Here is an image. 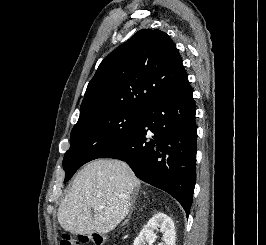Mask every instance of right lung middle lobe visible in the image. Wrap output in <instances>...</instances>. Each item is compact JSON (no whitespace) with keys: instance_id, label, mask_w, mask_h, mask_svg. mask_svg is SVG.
I'll use <instances>...</instances> for the list:
<instances>
[{"instance_id":"dd1d6c3e","label":"right lung middle lobe","mask_w":266,"mask_h":245,"mask_svg":"<svg viewBox=\"0 0 266 245\" xmlns=\"http://www.w3.org/2000/svg\"><path fill=\"white\" fill-rule=\"evenodd\" d=\"M144 112L107 108L79 118L71 131L70 149L63 159L64 182L85 163L122 144L134 132Z\"/></svg>"}]
</instances>
